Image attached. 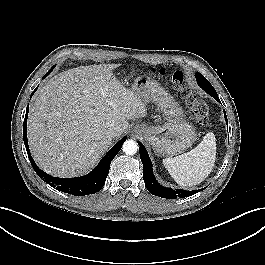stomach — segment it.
I'll return each instance as SVG.
<instances>
[{"label":"stomach","instance_id":"stomach-1","mask_svg":"<svg viewBox=\"0 0 265 265\" xmlns=\"http://www.w3.org/2000/svg\"><path fill=\"white\" fill-rule=\"evenodd\" d=\"M132 90L144 103L153 102L166 120L162 125L138 126L140 134L151 143L157 155L173 156L191 147L196 140L194 125L185 120L182 107L157 80L139 75Z\"/></svg>","mask_w":265,"mask_h":265}]
</instances>
